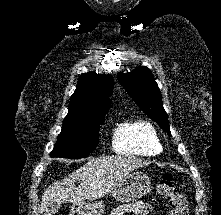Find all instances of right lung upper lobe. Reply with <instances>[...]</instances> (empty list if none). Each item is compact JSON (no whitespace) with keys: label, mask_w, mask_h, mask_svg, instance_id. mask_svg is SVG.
<instances>
[{"label":"right lung upper lobe","mask_w":221,"mask_h":215,"mask_svg":"<svg viewBox=\"0 0 221 215\" xmlns=\"http://www.w3.org/2000/svg\"><path fill=\"white\" fill-rule=\"evenodd\" d=\"M114 80L107 74L88 72L81 75L72 94L68 115L103 118L108 112Z\"/></svg>","instance_id":"cb5924a9"}]
</instances>
